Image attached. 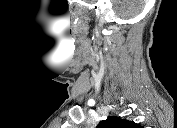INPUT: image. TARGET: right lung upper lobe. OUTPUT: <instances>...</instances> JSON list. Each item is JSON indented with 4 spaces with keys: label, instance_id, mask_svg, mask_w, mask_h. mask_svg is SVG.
<instances>
[{
    "label": "right lung upper lobe",
    "instance_id": "right-lung-upper-lobe-1",
    "mask_svg": "<svg viewBox=\"0 0 177 128\" xmlns=\"http://www.w3.org/2000/svg\"><path fill=\"white\" fill-rule=\"evenodd\" d=\"M100 128H139L140 125L133 121L121 119L116 116H109L106 120L99 123Z\"/></svg>",
    "mask_w": 177,
    "mask_h": 128
}]
</instances>
